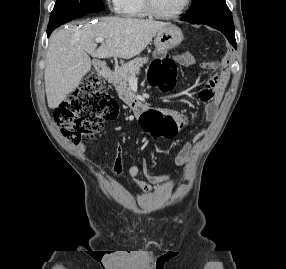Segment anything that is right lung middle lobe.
Masks as SVG:
<instances>
[{"label":"right lung middle lobe","instance_id":"dd1d6c3e","mask_svg":"<svg viewBox=\"0 0 286 269\" xmlns=\"http://www.w3.org/2000/svg\"><path fill=\"white\" fill-rule=\"evenodd\" d=\"M104 9L102 0H56L47 30L55 29L78 17Z\"/></svg>","mask_w":286,"mask_h":269}]
</instances>
